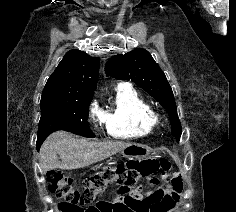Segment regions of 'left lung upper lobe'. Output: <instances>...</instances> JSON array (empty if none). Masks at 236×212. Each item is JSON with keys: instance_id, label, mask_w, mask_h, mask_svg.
<instances>
[{"instance_id": "obj_1", "label": "left lung upper lobe", "mask_w": 236, "mask_h": 212, "mask_svg": "<svg viewBox=\"0 0 236 212\" xmlns=\"http://www.w3.org/2000/svg\"><path fill=\"white\" fill-rule=\"evenodd\" d=\"M107 74L121 80H131L154 97L169 114L171 134L179 139L182 128L172 89L164 72L145 49H136L124 55H116L105 66Z\"/></svg>"}]
</instances>
